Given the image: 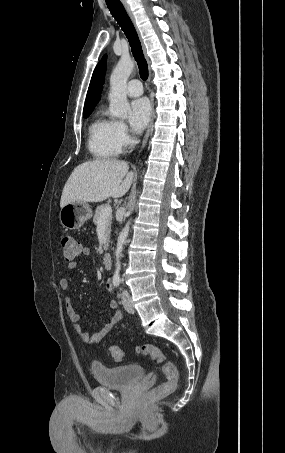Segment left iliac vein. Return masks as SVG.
I'll list each match as a JSON object with an SVG mask.
<instances>
[{"label": "left iliac vein", "instance_id": "1", "mask_svg": "<svg viewBox=\"0 0 285 453\" xmlns=\"http://www.w3.org/2000/svg\"><path fill=\"white\" fill-rule=\"evenodd\" d=\"M121 299H122V304H123L125 310L129 313H134L135 309L133 306V302H132L131 296L129 295L127 290L122 291Z\"/></svg>", "mask_w": 285, "mask_h": 453}]
</instances>
